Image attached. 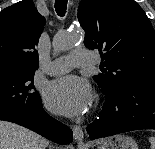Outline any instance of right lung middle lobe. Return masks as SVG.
<instances>
[{"instance_id": "obj_1", "label": "right lung middle lobe", "mask_w": 155, "mask_h": 149, "mask_svg": "<svg viewBox=\"0 0 155 149\" xmlns=\"http://www.w3.org/2000/svg\"><path fill=\"white\" fill-rule=\"evenodd\" d=\"M34 72L0 68V112L25 115L40 103L34 88Z\"/></svg>"}]
</instances>
